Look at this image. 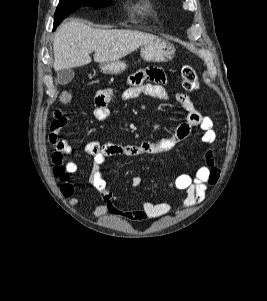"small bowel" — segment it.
<instances>
[{
	"label": "small bowel",
	"mask_w": 267,
	"mask_h": 301,
	"mask_svg": "<svg viewBox=\"0 0 267 301\" xmlns=\"http://www.w3.org/2000/svg\"><path fill=\"white\" fill-rule=\"evenodd\" d=\"M148 81V82H147ZM166 75L159 68H146L138 70L128 78V87L123 91V100H133L141 95L162 101H171V96L164 87ZM114 96L110 88H103L96 92L93 104V115L98 121H106L111 116L109 103ZM175 100L186 113V122L179 125L176 131L169 137L157 142L143 141L139 144H116L112 142L99 143L91 141L86 144L85 152L92 156L93 163L90 176L87 180L89 187L98 193L101 203L95 208L98 213L108 212L113 216H124L135 220L153 219L166 214L171 206L168 202L144 201L139 209L122 210L116 206V198L107 188L103 176L102 167L105 161L114 156H139L144 154H156L172 150L177 143L187 138L193 127H199L203 131V141L213 145L216 140L214 123L211 118L202 115L195 109L189 97L183 93H176ZM67 119L61 109L54 112L51 123L49 142L54 147L52 154L53 174L60 183L61 194L68 199L71 206L78 203L74 195L75 186L70 174L77 171L78 166L74 161H66V155L72 152L69 143L61 137L62 128ZM220 177V170L216 166L213 154L207 151L205 164L197 169L194 175L180 174L169 185L172 188L186 191L182 207L189 208L201 203L205 197L208 186L215 185ZM142 178L135 176L132 179L134 187L140 186Z\"/></svg>",
	"instance_id": "c3829d8e"
}]
</instances>
